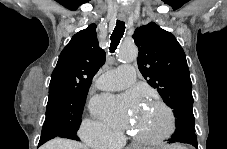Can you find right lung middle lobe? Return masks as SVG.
<instances>
[{"label": "right lung middle lobe", "mask_w": 227, "mask_h": 149, "mask_svg": "<svg viewBox=\"0 0 227 149\" xmlns=\"http://www.w3.org/2000/svg\"><path fill=\"white\" fill-rule=\"evenodd\" d=\"M87 93L88 91L49 93L42 135L45 133L76 134L81 123Z\"/></svg>", "instance_id": "dd1d6c3e"}]
</instances>
